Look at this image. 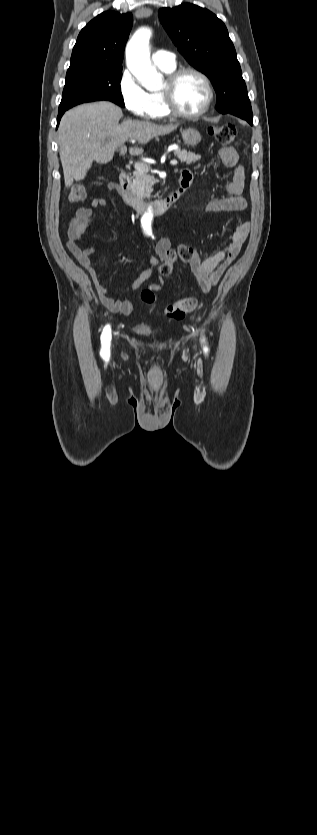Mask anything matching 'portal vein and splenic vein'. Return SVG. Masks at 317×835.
<instances>
[{
	"label": "portal vein and splenic vein",
	"mask_w": 317,
	"mask_h": 835,
	"mask_svg": "<svg viewBox=\"0 0 317 835\" xmlns=\"http://www.w3.org/2000/svg\"><path fill=\"white\" fill-rule=\"evenodd\" d=\"M132 142H134V140H132ZM176 148H177V147H176V146H174V147H171L170 149L172 150V149H176ZM126 152H127V148H126V146H122V147H121V149H120V155H124ZM170 164H171V165H173V166H176V165L178 164V162H177L176 160H172V161L170 162ZM134 167H135V169H136V170H138V171H144V170H147V166H146V164H144V163H140V162L135 163Z\"/></svg>",
	"instance_id": "1"
}]
</instances>
